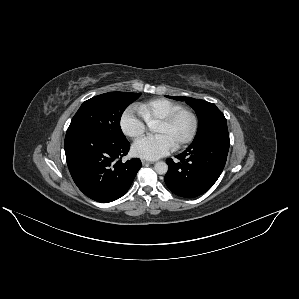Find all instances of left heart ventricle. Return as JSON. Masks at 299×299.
Instances as JSON below:
<instances>
[{"label":"left heart ventricle","mask_w":299,"mask_h":299,"mask_svg":"<svg viewBox=\"0 0 299 299\" xmlns=\"http://www.w3.org/2000/svg\"><path fill=\"white\" fill-rule=\"evenodd\" d=\"M192 126L193 120L190 114L183 113L170 125L157 124L155 132L166 135L176 146L190 134Z\"/></svg>","instance_id":"b2bd125f"}]
</instances>
